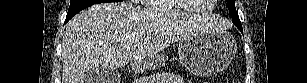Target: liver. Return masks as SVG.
Wrapping results in <instances>:
<instances>
[{
	"mask_svg": "<svg viewBox=\"0 0 307 83\" xmlns=\"http://www.w3.org/2000/svg\"><path fill=\"white\" fill-rule=\"evenodd\" d=\"M209 15L141 10L126 3L96 4L75 15L66 25L62 43V83H84L88 70L132 67L172 43L212 30Z\"/></svg>",
	"mask_w": 307,
	"mask_h": 83,
	"instance_id": "6515ba94",
	"label": "liver"
}]
</instances>
